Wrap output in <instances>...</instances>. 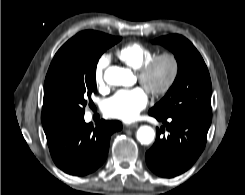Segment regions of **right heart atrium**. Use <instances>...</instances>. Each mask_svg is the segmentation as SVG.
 Here are the masks:
<instances>
[{
	"instance_id": "d8ad5b80",
	"label": "right heart atrium",
	"mask_w": 245,
	"mask_h": 195,
	"mask_svg": "<svg viewBox=\"0 0 245 195\" xmlns=\"http://www.w3.org/2000/svg\"><path fill=\"white\" fill-rule=\"evenodd\" d=\"M109 65V57L105 54L101 55L94 67V82L97 88H103L105 85L104 73Z\"/></svg>"
}]
</instances>
